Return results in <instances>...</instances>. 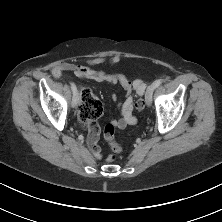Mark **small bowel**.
<instances>
[{
  "instance_id": "c3829d8e",
  "label": "small bowel",
  "mask_w": 222,
  "mask_h": 222,
  "mask_svg": "<svg viewBox=\"0 0 222 222\" xmlns=\"http://www.w3.org/2000/svg\"><path fill=\"white\" fill-rule=\"evenodd\" d=\"M120 58L118 56L112 57H96L88 60L87 64L80 65L74 63H57L52 66L51 73L54 77H60L64 71H72L81 79H92L98 82H106L110 84H120L126 92L124 101L119 105L120 117L114 120L111 124L118 128L123 129L128 125L136 123V117L133 114L134 109V96H142L146 83L140 79L131 80L123 74H110L103 70L95 69L96 66L110 63H118ZM113 99L116 100V95H113ZM99 118V117H98ZM91 119L86 124L88 130V146L92 151L95 158L101 159L102 154L98 146V139L100 133V127L97 119Z\"/></svg>"
}]
</instances>
